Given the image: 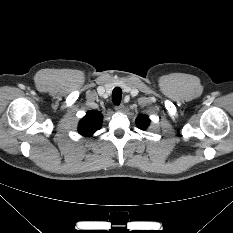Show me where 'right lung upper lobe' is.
I'll list each match as a JSON object with an SVG mask.
<instances>
[{
    "label": "right lung upper lobe",
    "mask_w": 233,
    "mask_h": 233,
    "mask_svg": "<svg viewBox=\"0 0 233 233\" xmlns=\"http://www.w3.org/2000/svg\"><path fill=\"white\" fill-rule=\"evenodd\" d=\"M103 116L96 111H88L78 126V132L83 136H92L101 128Z\"/></svg>",
    "instance_id": "right-lung-upper-lobe-1"
}]
</instances>
